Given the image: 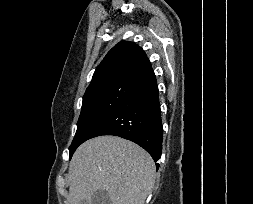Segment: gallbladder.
Returning <instances> with one entry per match:
<instances>
[{
  "instance_id": "1",
  "label": "gallbladder",
  "mask_w": 253,
  "mask_h": 204,
  "mask_svg": "<svg viewBox=\"0 0 253 204\" xmlns=\"http://www.w3.org/2000/svg\"><path fill=\"white\" fill-rule=\"evenodd\" d=\"M80 204H86L82 202ZM91 204H111L110 197L105 190H97L91 197Z\"/></svg>"
}]
</instances>
